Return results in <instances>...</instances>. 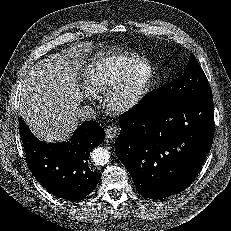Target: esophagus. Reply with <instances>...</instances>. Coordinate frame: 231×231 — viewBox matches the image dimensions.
I'll list each match as a JSON object with an SVG mask.
<instances>
[{"instance_id":"1","label":"esophagus","mask_w":231,"mask_h":231,"mask_svg":"<svg viewBox=\"0 0 231 231\" xmlns=\"http://www.w3.org/2000/svg\"><path fill=\"white\" fill-rule=\"evenodd\" d=\"M105 133H106V138L111 140L118 135V128L114 125L108 126L107 129L105 130Z\"/></svg>"}]
</instances>
